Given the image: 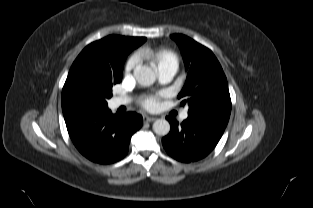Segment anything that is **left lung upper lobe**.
Instances as JSON below:
<instances>
[{
    "instance_id": "obj_1",
    "label": "left lung upper lobe",
    "mask_w": 313,
    "mask_h": 208,
    "mask_svg": "<svg viewBox=\"0 0 313 208\" xmlns=\"http://www.w3.org/2000/svg\"><path fill=\"white\" fill-rule=\"evenodd\" d=\"M188 72L186 83L178 95L189 105L188 115L209 117L228 122L231 99L223 69L211 50L193 39L174 34Z\"/></svg>"
}]
</instances>
